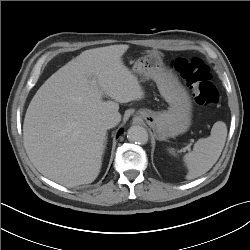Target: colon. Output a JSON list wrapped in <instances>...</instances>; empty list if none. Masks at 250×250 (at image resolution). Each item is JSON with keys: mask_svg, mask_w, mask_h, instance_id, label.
Here are the masks:
<instances>
[{"mask_svg": "<svg viewBox=\"0 0 250 250\" xmlns=\"http://www.w3.org/2000/svg\"><path fill=\"white\" fill-rule=\"evenodd\" d=\"M175 70L185 80L195 101L203 106H213L219 101V94L212 82L210 70L199 58H178L174 61Z\"/></svg>", "mask_w": 250, "mask_h": 250, "instance_id": "5ec220e1", "label": "colon"}]
</instances>
